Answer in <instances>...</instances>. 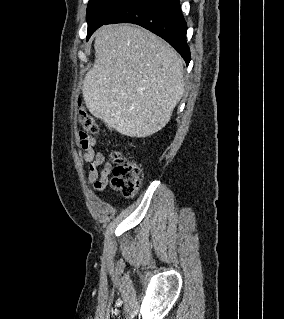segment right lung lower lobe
Wrapping results in <instances>:
<instances>
[{
  "instance_id": "obj_1",
  "label": "right lung lower lobe",
  "mask_w": 284,
  "mask_h": 319,
  "mask_svg": "<svg viewBox=\"0 0 284 319\" xmlns=\"http://www.w3.org/2000/svg\"><path fill=\"white\" fill-rule=\"evenodd\" d=\"M138 24L166 40L190 62V49L186 43L187 25L181 12L179 0H134L105 24Z\"/></svg>"
}]
</instances>
